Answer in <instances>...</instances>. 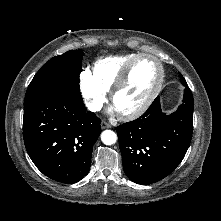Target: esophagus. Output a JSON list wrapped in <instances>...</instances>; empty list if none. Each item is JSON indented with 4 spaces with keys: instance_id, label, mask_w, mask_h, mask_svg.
I'll return each instance as SVG.
<instances>
[{
    "instance_id": "1",
    "label": "esophagus",
    "mask_w": 221,
    "mask_h": 221,
    "mask_svg": "<svg viewBox=\"0 0 221 221\" xmlns=\"http://www.w3.org/2000/svg\"><path fill=\"white\" fill-rule=\"evenodd\" d=\"M101 127H102V129H107V128H110L111 125L109 123H107V122H102L101 123Z\"/></svg>"
}]
</instances>
